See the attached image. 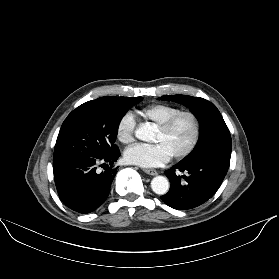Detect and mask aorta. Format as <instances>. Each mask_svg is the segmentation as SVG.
I'll list each match as a JSON object with an SVG mask.
<instances>
[{
  "label": "aorta",
  "instance_id": "1",
  "mask_svg": "<svg viewBox=\"0 0 279 279\" xmlns=\"http://www.w3.org/2000/svg\"><path fill=\"white\" fill-rule=\"evenodd\" d=\"M154 130L151 126L140 125L135 130V136L137 139L145 142H150L154 138ZM151 188L154 193L158 195H164L169 190V181L164 176H156L151 181Z\"/></svg>",
  "mask_w": 279,
  "mask_h": 279
}]
</instances>
